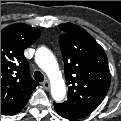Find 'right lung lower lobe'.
I'll use <instances>...</instances> for the list:
<instances>
[{
    "instance_id": "obj_1",
    "label": "right lung lower lobe",
    "mask_w": 121,
    "mask_h": 121,
    "mask_svg": "<svg viewBox=\"0 0 121 121\" xmlns=\"http://www.w3.org/2000/svg\"><path fill=\"white\" fill-rule=\"evenodd\" d=\"M25 105H26V104H25ZM25 105H24L22 108H20L18 111H16L15 113H13V114L19 113V112L25 107ZM13 114H11V115H13Z\"/></svg>"
}]
</instances>
